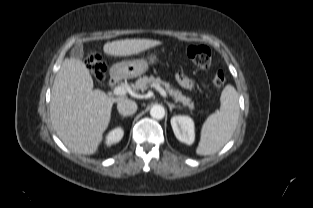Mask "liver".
Wrapping results in <instances>:
<instances>
[{
  "mask_svg": "<svg viewBox=\"0 0 313 208\" xmlns=\"http://www.w3.org/2000/svg\"><path fill=\"white\" fill-rule=\"evenodd\" d=\"M162 44L151 39L107 42L103 50L115 57L130 56ZM105 92L93 90L89 70L80 60L66 58L56 74L51 92L50 118L60 140L73 152L94 154L107 129L114 102Z\"/></svg>",
  "mask_w": 313,
  "mask_h": 208,
  "instance_id": "6515ba94",
  "label": "liver"
}]
</instances>
